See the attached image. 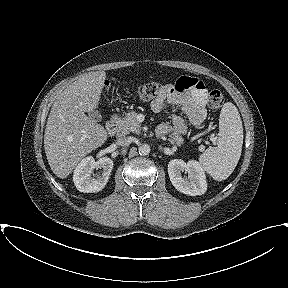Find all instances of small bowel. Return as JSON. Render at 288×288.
Wrapping results in <instances>:
<instances>
[{"label": "small bowel", "mask_w": 288, "mask_h": 288, "mask_svg": "<svg viewBox=\"0 0 288 288\" xmlns=\"http://www.w3.org/2000/svg\"><path fill=\"white\" fill-rule=\"evenodd\" d=\"M207 99L208 92L203 82L193 77L182 76L175 84L168 85V90L152 101L151 108L158 113L166 104H169L173 112H183L190 124L199 127L206 118ZM187 129V122L181 116L173 113L172 125H160L158 133L160 135L170 132L185 133Z\"/></svg>", "instance_id": "small-bowel-1"}]
</instances>
